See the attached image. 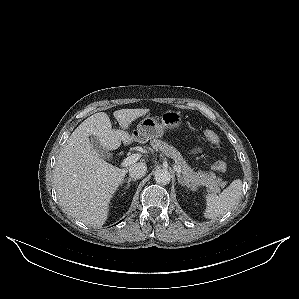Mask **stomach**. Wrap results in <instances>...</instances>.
Returning a JSON list of instances; mask_svg holds the SVG:
<instances>
[{"instance_id":"obj_1","label":"stomach","mask_w":299,"mask_h":299,"mask_svg":"<svg viewBox=\"0 0 299 299\" xmlns=\"http://www.w3.org/2000/svg\"><path fill=\"white\" fill-rule=\"evenodd\" d=\"M182 123V114L179 111L169 110L163 112L159 118L145 117L137 125L131 135L137 142L143 143L150 139L163 136L165 129L178 128Z\"/></svg>"}]
</instances>
